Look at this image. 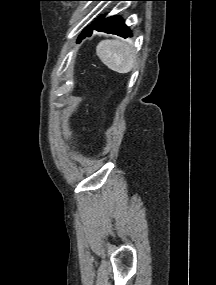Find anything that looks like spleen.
Listing matches in <instances>:
<instances>
[{
    "instance_id": "spleen-1",
    "label": "spleen",
    "mask_w": 216,
    "mask_h": 285,
    "mask_svg": "<svg viewBox=\"0 0 216 285\" xmlns=\"http://www.w3.org/2000/svg\"><path fill=\"white\" fill-rule=\"evenodd\" d=\"M96 53L104 65L121 74L130 72L136 60L132 45L118 39L102 40Z\"/></svg>"
}]
</instances>
